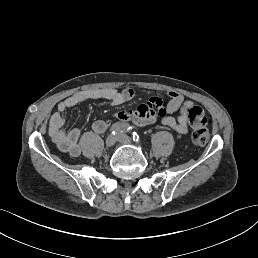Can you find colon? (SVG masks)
Here are the masks:
<instances>
[{"instance_id": "5ec220e1", "label": "colon", "mask_w": 258, "mask_h": 258, "mask_svg": "<svg viewBox=\"0 0 258 258\" xmlns=\"http://www.w3.org/2000/svg\"><path fill=\"white\" fill-rule=\"evenodd\" d=\"M191 140L195 145H205L209 140L207 129L204 126L195 127L191 134Z\"/></svg>"}]
</instances>
